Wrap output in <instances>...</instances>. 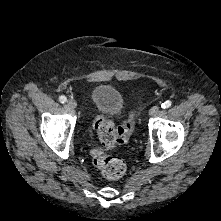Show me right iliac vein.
<instances>
[{
  "instance_id": "1",
  "label": "right iliac vein",
  "mask_w": 221,
  "mask_h": 221,
  "mask_svg": "<svg viewBox=\"0 0 221 221\" xmlns=\"http://www.w3.org/2000/svg\"><path fill=\"white\" fill-rule=\"evenodd\" d=\"M67 105L70 109H75L77 107V102L74 99H69Z\"/></svg>"
}]
</instances>
